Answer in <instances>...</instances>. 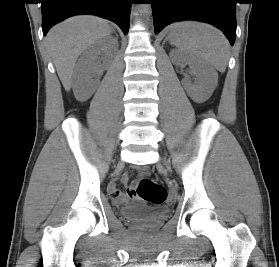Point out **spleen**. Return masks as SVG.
<instances>
[{"mask_svg": "<svg viewBox=\"0 0 279 267\" xmlns=\"http://www.w3.org/2000/svg\"><path fill=\"white\" fill-rule=\"evenodd\" d=\"M169 38L185 53L209 63L220 72L226 70L229 59V42L218 29L195 21L172 25Z\"/></svg>", "mask_w": 279, "mask_h": 267, "instance_id": "spleen-1", "label": "spleen"}]
</instances>
